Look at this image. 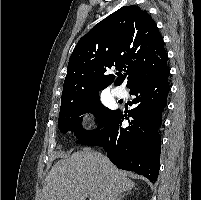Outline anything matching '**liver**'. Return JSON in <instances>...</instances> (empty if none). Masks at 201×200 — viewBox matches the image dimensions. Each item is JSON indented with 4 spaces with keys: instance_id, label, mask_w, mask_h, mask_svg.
I'll return each mask as SVG.
<instances>
[{
    "instance_id": "6515ba94",
    "label": "liver",
    "mask_w": 201,
    "mask_h": 200,
    "mask_svg": "<svg viewBox=\"0 0 201 200\" xmlns=\"http://www.w3.org/2000/svg\"><path fill=\"white\" fill-rule=\"evenodd\" d=\"M134 187L123 171L89 148L58 161L45 178L42 200H117Z\"/></svg>"
}]
</instances>
